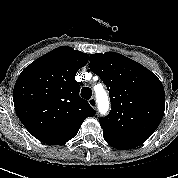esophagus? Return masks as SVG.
I'll return each mask as SVG.
<instances>
[{"mask_svg": "<svg viewBox=\"0 0 178 178\" xmlns=\"http://www.w3.org/2000/svg\"><path fill=\"white\" fill-rule=\"evenodd\" d=\"M89 105L92 107V108H94V109H96V107H97V101H96V99L94 98V97H92L91 99H89Z\"/></svg>", "mask_w": 178, "mask_h": 178, "instance_id": "obj_1", "label": "esophagus"}]
</instances>
